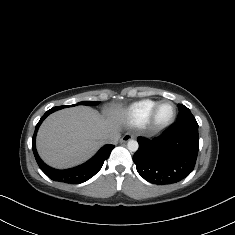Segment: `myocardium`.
Instances as JSON below:
<instances>
[{
    "instance_id": "myocardium-1",
    "label": "myocardium",
    "mask_w": 235,
    "mask_h": 235,
    "mask_svg": "<svg viewBox=\"0 0 235 235\" xmlns=\"http://www.w3.org/2000/svg\"><path fill=\"white\" fill-rule=\"evenodd\" d=\"M166 102H170V103L173 104V106H174V114H173V116L168 121L160 122L158 120L157 113H158V110H159L160 106L162 104L166 103ZM176 117H177V106H176L175 102L172 101V100L163 99V100L158 101L154 105V107H153V109L151 111L149 120H150V124L152 125V127L155 130H162V129H165V128L169 127L170 125H172L174 123Z\"/></svg>"
}]
</instances>
